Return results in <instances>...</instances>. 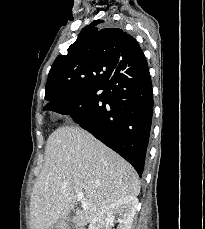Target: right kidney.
I'll return each mask as SVG.
<instances>
[{
  "mask_svg": "<svg viewBox=\"0 0 205 229\" xmlns=\"http://www.w3.org/2000/svg\"><path fill=\"white\" fill-rule=\"evenodd\" d=\"M137 208L138 199L136 197L119 199L94 217L88 229H110L115 221L119 223L117 229H131Z\"/></svg>",
  "mask_w": 205,
  "mask_h": 229,
  "instance_id": "ca27d5eb",
  "label": "right kidney"
}]
</instances>
